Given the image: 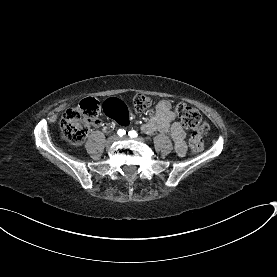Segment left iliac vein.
Here are the masks:
<instances>
[{"label":"left iliac vein","mask_w":277,"mask_h":277,"mask_svg":"<svg viewBox=\"0 0 277 277\" xmlns=\"http://www.w3.org/2000/svg\"><path fill=\"white\" fill-rule=\"evenodd\" d=\"M120 140H128V137H127V136H124V137L120 138ZM136 140H138V141H140V142L144 141V139H143L142 137H139V138H137Z\"/></svg>","instance_id":"1"}]
</instances>
